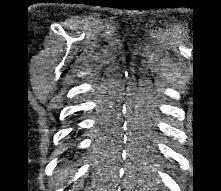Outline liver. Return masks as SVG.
Segmentation results:
<instances>
[{"mask_svg":"<svg viewBox=\"0 0 221 191\" xmlns=\"http://www.w3.org/2000/svg\"><path fill=\"white\" fill-rule=\"evenodd\" d=\"M67 174V171H61L58 173L57 177L58 178H62L63 176H65Z\"/></svg>","mask_w":221,"mask_h":191,"instance_id":"6515ba94","label":"liver"}]
</instances>
